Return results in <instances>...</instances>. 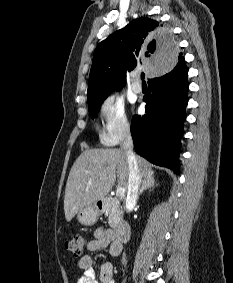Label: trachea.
Listing matches in <instances>:
<instances>
[{
    "label": "trachea",
    "mask_w": 233,
    "mask_h": 283,
    "mask_svg": "<svg viewBox=\"0 0 233 283\" xmlns=\"http://www.w3.org/2000/svg\"><path fill=\"white\" fill-rule=\"evenodd\" d=\"M144 78H145V74L141 73V80H142L143 83H145Z\"/></svg>",
    "instance_id": "trachea-1"
}]
</instances>
